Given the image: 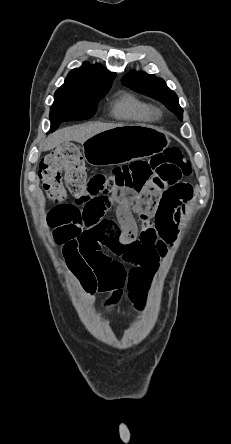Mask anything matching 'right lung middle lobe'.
Returning <instances> with one entry per match:
<instances>
[{"label":"right lung middle lobe","mask_w":231,"mask_h":444,"mask_svg":"<svg viewBox=\"0 0 231 444\" xmlns=\"http://www.w3.org/2000/svg\"><path fill=\"white\" fill-rule=\"evenodd\" d=\"M109 89L96 92H76L57 90L50 110L51 130L54 131L61 122L85 120L96 111V104Z\"/></svg>","instance_id":"1"}]
</instances>
